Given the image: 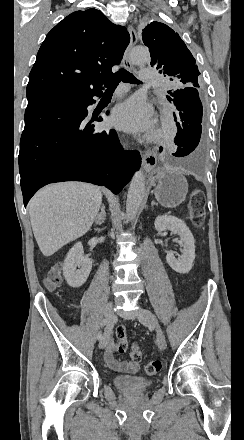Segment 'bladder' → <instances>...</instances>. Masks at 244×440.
I'll return each mask as SVG.
<instances>
[{"instance_id":"obj_1","label":"bladder","mask_w":244,"mask_h":440,"mask_svg":"<svg viewBox=\"0 0 244 440\" xmlns=\"http://www.w3.org/2000/svg\"><path fill=\"white\" fill-rule=\"evenodd\" d=\"M113 382L118 390H122L127 394L142 393L151 386V380H145L142 377H114Z\"/></svg>"}]
</instances>
